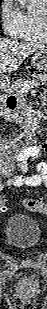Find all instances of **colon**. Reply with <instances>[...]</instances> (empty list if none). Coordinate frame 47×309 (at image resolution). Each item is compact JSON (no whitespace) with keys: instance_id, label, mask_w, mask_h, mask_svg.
Segmentation results:
<instances>
[{"instance_id":"colon-1","label":"colon","mask_w":47,"mask_h":309,"mask_svg":"<svg viewBox=\"0 0 47 309\" xmlns=\"http://www.w3.org/2000/svg\"><path fill=\"white\" fill-rule=\"evenodd\" d=\"M23 205L32 212L45 214L47 212V204L39 199H25Z\"/></svg>"}]
</instances>
